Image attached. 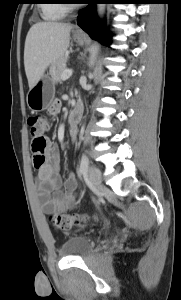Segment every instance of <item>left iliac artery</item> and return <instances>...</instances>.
I'll return each mask as SVG.
<instances>
[{
    "label": "left iliac artery",
    "mask_w": 181,
    "mask_h": 300,
    "mask_svg": "<svg viewBox=\"0 0 181 300\" xmlns=\"http://www.w3.org/2000/svg\"><path fill=\"white\" fill-rule=\"evenodd\" d=\"M88 165H89V160H88L87 156L84 155L82 157V160H81V163H80L79 175H82L87 171Z\"/></svg>",
    "instance_id": "1"
}]
</instances>
